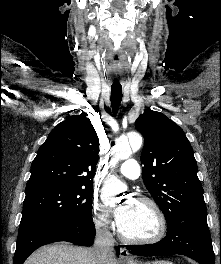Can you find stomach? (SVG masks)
Segmentation results:
<instances>
[{"instance_id": "0dacf381", "label": "stomach", "mask_w": 221, "mask_h": 264, "mask_svg": "<svg viewBox=\"0 0 221 264\" xmlns=\"http://www.w3.org/2000/svg\"><path fill=\"white\" fill-rule=\"evenodd\" d=\"M135 264H174L170 261H152V262H145V263H135Z\"/></svg>"}]
</instances>
